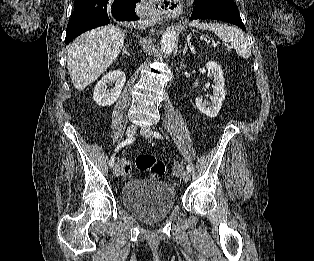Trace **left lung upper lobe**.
Masks as SVG:
<instances>
[{
	"label": "left lung upper lobe",
	"mask_w": 314,
	"mask_h": 261,
	"mask_svg": "<svg viewBox=\"0 0 314 261\" xmlns=\"http://www.w3.org/2000/svg\"><path fill=\"white\" fill-rule=\"evenodd\" d=\"M195 3L198 5H206V4H234L233 0H195Z\"/></svg>",
	"instance_id": "5c2ea615"
}]
</instances>
